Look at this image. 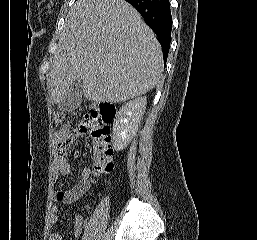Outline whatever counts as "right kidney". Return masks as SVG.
<instances>
[{
	"label": "right kidney",
	"mask_w": 257,
	"mask_h": 240,
	"mask_svg": "<svg viewBox=\"0 0 257 240\" xmlns=\"http://www.w3.org/2000/svg\"><path fill=\"white\" fill-rule=\"evenodd\" d=\"M147 104L146 97H138L127 102L117 112L113 123V147L123 150L135 136Z\"/></svg>",
	"instance_id": "obj_1"
}]
</instances>
